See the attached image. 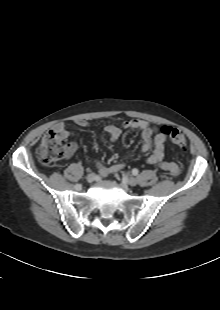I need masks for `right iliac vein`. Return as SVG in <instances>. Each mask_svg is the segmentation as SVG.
<instances>
[{
    "label": "right iliac vein",
    "mask_w": 220,
    "mask_h": 310,
    "mask_svg": "<svg viewBox=\"0 0 220 310\" xmlns=\"http://www.w3.org/2000/svg\"><path fill=\"white\" fill-rule=\"evenodd\" d=\"M86 179H87V182L92 183L95 180V175L89 174Z\"/></svg>",
    "instance_id": "1"
}]
</instances>
